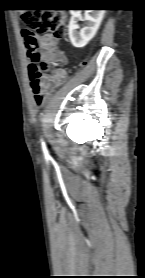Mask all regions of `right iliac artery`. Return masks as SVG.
<instances>
[{"mask_svg": "<svg viewBox=\"0 0 145 278\" xmlns=\"http://www.w3.org/2000/svg\"><path fill=\"white\" fill-rule=\"evenodd\" d=\"M42 149H43V152L46 154V153H48V151H47V148H46V145H45V143L42 141Z\"/></svg>", "mask_w": 145, "mask_h": 278, "instance_id": "1", "label": "right iliac artery"}]
</instances>
